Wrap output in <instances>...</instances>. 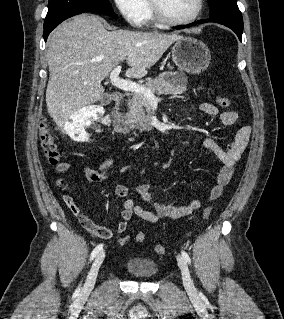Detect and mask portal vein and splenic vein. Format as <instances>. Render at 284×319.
Instances as JSON below:
<instances>
[{
	"instance_id": "18ae733b",
	"label": "portal vein and splenic vein",
	"mask_w": 284,
	"mask_h": 319,
	"mask_svg": "<svg viewBox=\"0 0 284 319\" xmlns=\"http://www.w3.org/2000/svg\"><path fill=\"white\" fill-rule=\"evenodd\" d=\"M121 72V66L118 65L115 67L112 72L110 73V82L115 87L124 90V91H130L133 93H140L143 94L144 97L149 102H157L158 98L152 93V91L143 85L137 84L135 82H132L130 80H125L119 77V74Z\"/></svg>"
}]
</instances>
